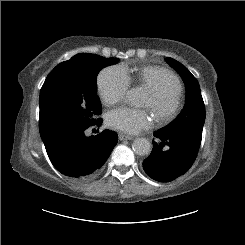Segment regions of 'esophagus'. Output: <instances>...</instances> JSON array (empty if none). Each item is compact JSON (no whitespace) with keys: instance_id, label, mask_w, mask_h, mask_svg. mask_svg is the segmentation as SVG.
<instances>
[{"instance_id":"1","label":"esophagus","mask_w":245,"mask_h":245,"mask_svg":"<svg viewBox=\"0 0 245 245\" xmlns=\"http://www.w3.org/2000/svg\"><path fill=\"white\" fill-rule=\"evenodd\" d=\"M118 138L119 140L123 141V140H132L134 137L130 135L119 133Z\"/></svg>"}]
</instances>
